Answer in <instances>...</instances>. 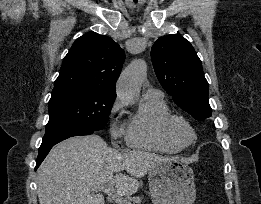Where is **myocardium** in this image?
Instances as JSON below:
<instances>
[{"instance_id":"1","label":"myocardium","mask_w":261,"mask_h":204,"mask_svg":"<svg viewBox=\"0 0 261 204\" xmlns=\"http://www.w3.org/2000/svg\"><path fill=\"white\" fill-rule=\"evenodd\" d=\"M178 124L185 126L191 133V140L188 143H180L174 134V127ZM162 132L164 136L170 141L174 146L179 149H184L192 145L196 140V132L192 124L182 115L170 114L166 117L162 123Z\"/></svg>"}]
</instances>
